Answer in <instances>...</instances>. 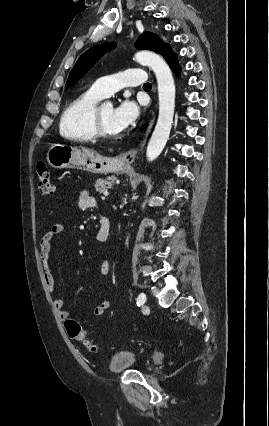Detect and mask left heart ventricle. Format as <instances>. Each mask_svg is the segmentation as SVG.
Here are the masks:
<instances>
[{"instance_id":"b2bd125f","label":"left heart ventricle","mask_w":269,"mask_h":426,"mask_svg":"<svg viewBox=\"0 0 269 426\" xmlns=\"http://www.w3.org/2000/svg\"><path fill=\"white\" fill-rule=\"evenodd\" d=\"M113 111L114 109L110 106L101 107L99 110L100 120L104 130L109 135H118L120 131L117 130L115 126L113 125V120H112Z\"/></svg>"}]
</instances>
